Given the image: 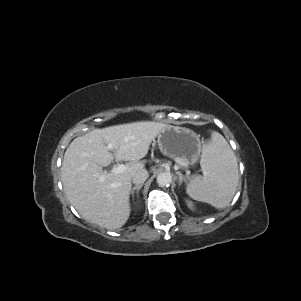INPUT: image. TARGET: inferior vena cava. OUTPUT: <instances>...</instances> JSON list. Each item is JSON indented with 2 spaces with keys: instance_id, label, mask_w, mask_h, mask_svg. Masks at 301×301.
I'll list each match as a JSON object with an SVG mask.
<instances>
[{
  "instance_id": "obj_1",
  "label": "inferior vena cava",
  "mask_w": 301,
  "mask_h": 301,
  "mask_svg": "<svg viewBox=\"0 0 301 301\" xmlns=\"http://www.w3.org/2000/svg\"><path fill=\"white\" fill-rule=\"evenodd\" d=\"M148 178V172L146 169H139L132 177V182L136 185L143 184Z\"/></svg>"
}]
</instances>
